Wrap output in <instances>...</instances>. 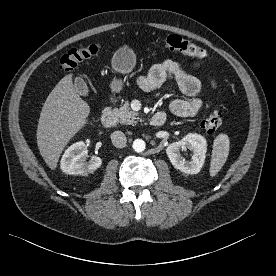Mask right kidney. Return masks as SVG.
Wrapping results in <instances>:
<instances>
[{
	"label": "right kidney",
	"mask_w": 276,
	"mask_h": 276,
	"mask_svg": "<svg viewBox=\"0 0 276 276\" xmlns=\"http://www.w3.org/2000/svg\"><path fill=\"white\" fill-rule=\"evenodd\" d=\"M86 145L79 141L71 145L63 154L60 165L64 173L70 175L86 176L93 173L102 164L98 156H92L86 161Z\"/></svg>",
	"instance_id": "obj_1"
}]
</instances>
